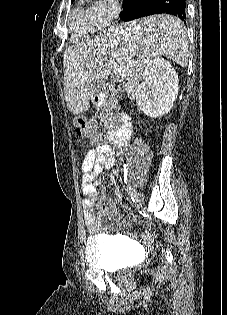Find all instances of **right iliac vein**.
<instances>
[{
  "mask_svg": "<svg viewBox=\"0 0 227 315\" xmlns=\"http://www.w3.org/2000/svg\"><path fill=\"white\" fill-rule=\"evenodd\" d=\"M136 206H137L138 209L142 207V197H141L140 194L137 195Z\"/></svg>",
  "mask_w": 227,
  "mask_h": 315,
  "instance_id": "63e3f726",
  "label": "right iliac vein"
}]
</instances>
